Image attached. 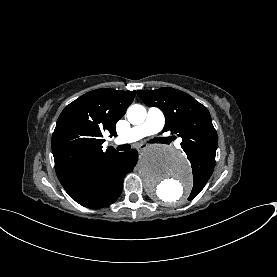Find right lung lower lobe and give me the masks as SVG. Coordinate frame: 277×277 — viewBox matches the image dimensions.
I'll return each mask as SVG.
<instances>
[{"label": "right lung lower lobe", "mask_w": 277, "mask_h": 277, "mask_svg": "<svg viewBox=\"0 0 277 277\" xmlns=\"http://www.w3.org/2000/svg\"><path fill=\"white\" fill-rule=\"evenodd\" d=\"M138 153L116 152L91 164L63 183L65 191L87 208H101L114 203L122 192L126 174L133 171Z\"/></svg>", "instance_id": "obj_1"}]
</instances>
